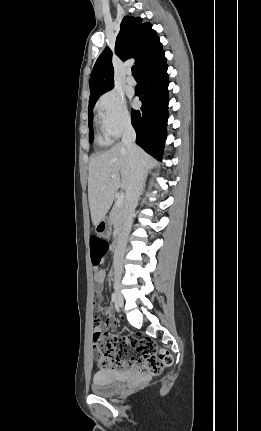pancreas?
I'll list each match as a JSON object with an SVG mask.
<instances>
[{"label": "pancreas", "mask_w": 261, "mask_h": 431, "mask_svg": "<svg viewBox=\"0 0 261 431\" xmlns=\"http://www.w3.org/2000/svg\"><path fill=\"white\" fill-rule=\"evenodd\" d=\"M110 222L114 225L115 233H118L122 226L123 221V206H117L116 204L113 206L110 212Z\"/></svg>", "instance_id": "1"}]
</instances>
